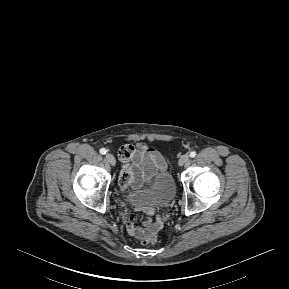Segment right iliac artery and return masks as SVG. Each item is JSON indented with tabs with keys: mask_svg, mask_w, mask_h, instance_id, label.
<instances>
[{
	"mask_svg": "<svg viewBox=\"0 0 289 289\" xmlns=\"http://www.w3.org/2000/svg\"><path fill=\"white\" fill-rule=\"evenodd\" d=\"M108 151L105 149V148H101L100 149V153L102 154V155H104V154H106Z\"/></svg>",
	"mask_w": 289,
	"mask_h": 289,
	"instance_id": "1",
	"label": "right iliac artery"
}]
</instances>
